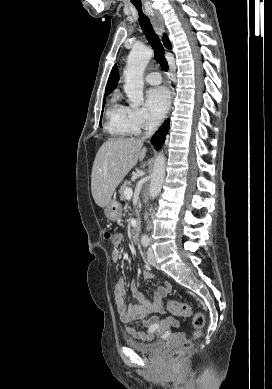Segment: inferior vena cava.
Segmentation results:
<instances>
[{
	"label": "inferior vena cava",
	"mask_w": 272,
	"mask_h": 389,
	"mask_svg": "<svg viewBox=\"0 0 272 389\" xmlns=\"http://www.w3.org/2000/svg\"><path fill=\"white\" fill-rule=\"evenodd\" d=\"M158 125H159L158 121L151 120L148 124V128L145 133V138L151 137L154 134L155 130L157 129Z\"/></svg>",
	"instance_id": "1"
}]
</instances>
